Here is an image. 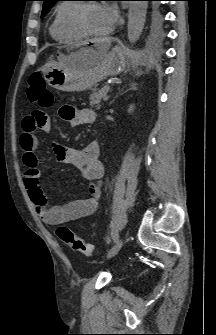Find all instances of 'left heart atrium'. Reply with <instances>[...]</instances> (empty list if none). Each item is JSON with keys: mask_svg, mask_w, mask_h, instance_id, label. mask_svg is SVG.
<instances>
[{"mask_svg": "<svg viewBox=\"0 0 216 335\" xmlns=\"http://www.w3.org/2000/svg\"><path fill=\"white\" fill-rule=\"evenodd\" d=\"M101 8L110 31L119 19V11L114 4L110 3L103 4Z\"/></svg>", "mask_w": 216, "mask_h": 335, "instance_id": "39dd6f15", "label": "left heart atrium"}]
</instances>
